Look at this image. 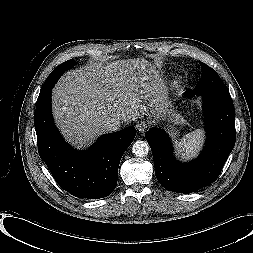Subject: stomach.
Segmentation results:
<instances>
[{"mask_svg":"<svg viewBox=\"0 0 253 253\" xmlns=\"http://www.w3.org/2000/svg\"><path fill=\"white\" fill-rule=\"evenodd\" d=\"M148 69H150V68H148ZM145 104L148 107V112H147L148 118H151V117L159 118L160 116H162V114H165L168 111L167 109L165 111L161 110L162 109L161 102L154 103V102H149L148 100H145ZM173 116L175 117L176 124H180V125L187 124V121L180 114H175ZM171 135L175 138L177 133H171Z\"/></svg>","mask_w":253,"mask_h":253,"instance_id":"1","label":"stomach"}]
</instances>
